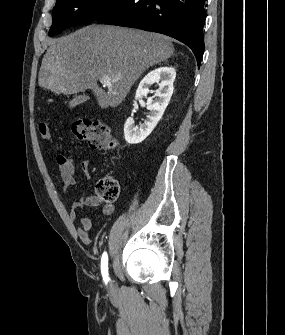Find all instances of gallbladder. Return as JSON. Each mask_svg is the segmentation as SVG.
<instances>
[{"label": "gallbladder", "mask_w": 285, "mask_h": 335, "mask_svg": "<svg viewBox=\"0 0 285 335\" xmlns=\"http://www.w3.org/2000/svg\"><path fill=\"white\" fill-rule=\"evenodd\" d=\"M79 104H82L81 96H76V98L70 100L69 108H75V106H79Z\"/></svg>", "instance_id": "bac80fb5"}]
</instances>
